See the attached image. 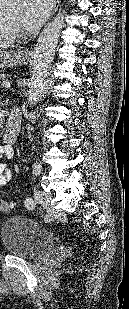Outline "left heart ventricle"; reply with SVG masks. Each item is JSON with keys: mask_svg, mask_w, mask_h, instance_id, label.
<instances>
[{"mask_svg": "<svg viewBox=\"0 0 129 309\" xmlns=\"http://www.w3.org/2000/svg\"><path fill=\"white\" fill-rule=\"evenodd\" d=\"M9 19L20 28L22 27L21 16L19 14L10 15Z\"/></svg>", "mask_w": 129, "mask_h": 309, "instance_id": "obj_1", "label": "left heart ventricle"}]
</instances>
